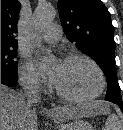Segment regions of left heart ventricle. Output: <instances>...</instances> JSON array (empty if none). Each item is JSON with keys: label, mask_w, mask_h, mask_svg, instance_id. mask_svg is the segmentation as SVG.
I'll return each instance as SVG.
<instances>
[{"label": "left heart ventricle", "mask_w": 123, "mask_h": 130, "mask_svg": "<svg viewBox=\"0 0 123 130\" xmlns=\"http://www.w3.org/2000/svg\"><path fill=\"white\" fill-rule=\"evenodd\" d=\"M53 83L67 95L84 97L97 90L99 77L95 69L83 60L61 61Z\"/></svg>", "instance_id": "b2bd125f"}]
</instances>
